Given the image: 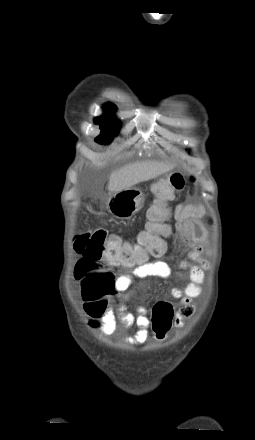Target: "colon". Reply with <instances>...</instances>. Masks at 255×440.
Listing matches in <instances>:
<instances>
[{
	"label": "colon",
	"mask_w": 255,
	"mask_h": 440,
	"mask_svg": "<svg viewBox=\"0 0 255 440\" xmlns=\"http://www.w3.org/2000/svg\"><path fill=\"white\" fill-rule=\"evenodd\" d=\"M188 180L193 182L194 176H189ZM185 183L183 175L174 173L155 184L154 204L147 213L146 229L138 236V245L102 229H85L76 236L74 249L83 257L76 264L75 275L81 285L85 309L91 317L105 313L108 299L115 291L112 268L139 265L149 254L163 253L160 236L166 233V206ZM156 303L151 319L154 340L166 342L175 316L174 307L166 298H157Z\"/></svg>",
	"instance_id": "5ec220e1"
}]
</instances>
